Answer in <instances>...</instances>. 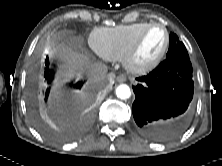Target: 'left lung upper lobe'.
<instances>
[{"instance_id": "left-lung-upper-lobe-1", "label": "left lung upper lobe", "mask_w": 222, "mask_h": 166, "mask_svg": "<svg viewBox=\"0 0 222 166\" xmlns=\"http://www.w3.org/2000/svg\"><path fill=\"white\" fill-rule=\"evenodd\" d=\"M166 56L167 58L177 56L189 58L185 45L179 41L178 37L174 33H170V45Z\"/></svg>"}]
</instances>
